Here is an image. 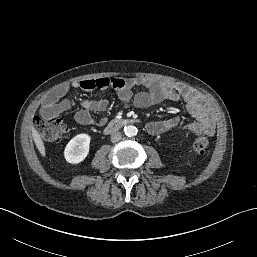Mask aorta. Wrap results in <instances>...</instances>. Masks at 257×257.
Segmentation results:
<instances>
[{
    "instance_id": "obj_1",
    "label": "aorta",
    "mask_w": 257,
    "mask_h": 257,
    "mask_svg": "<svg viewBox=\"0 0 257 257\" xmlns=\"http://www.w3.org/2000/svg\"><path fill=\"white\" fill-rule=\"evenodd\" d=\"M124 133L126 134V136L128 137H133L136 136L138 133V130L135 126L133 125H128L124 127Z\"/></svg>"
}]
</instances>
